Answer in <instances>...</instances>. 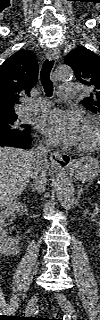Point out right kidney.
<instances>
[{
    "mask_svg": "<svg viewBox=\"0 0 100 320\" xmlns=\"http://www.w3.org/2000/svg\"><path fill=\"white\" fill-rule=\"evenodd\" d=\"M27 212L25 204H22L16 200L9 203L4 209L0 212V248L1 251L5 254H17L18 244L20 242V237H8V224L7 220L15 219L16 214H23Z\"/></svg>",
    "mask_w": 100,
    "mask_h": 320,
    "instance_id": "ca27d5eb",
    "label": "right kidney"
}]
</instances>
